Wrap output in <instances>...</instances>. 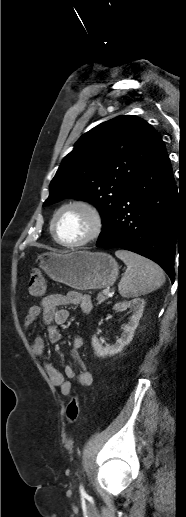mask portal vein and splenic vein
<instances>
[{
  "label": "portal vein and splenic vein",
  "instance_id": "obj_1",
  "mask_svg": "<svg viewBox=\"0 0 186 517\" xmlns=\"http://www.w3.org/2000/svg\"><path fill=\"white\" fill-rule=\"evenodd\" d=\"M103 292H104L106 295H108V296H110V295H111V293H110L109 289H105Z\"/></svg>",
  "mask_w": 186,
  "mask_h": 517
}]
</instances>
